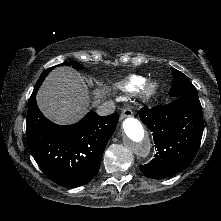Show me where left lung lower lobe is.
I'll list each match as a JSON object with an SVG mask.
<instances>
[{
    "label": "left lung lower lobe",
    "mask_w": 221,
    "mask_h": 221,
    "mask_svg": "<svg viewBox=\"0 0 221 221\" xmlns=\"http://www.w3.org/2000/svg\"><path fill=\"white\" fill-rule=\"evenodd\" d=\"M140 119L153 134L157 153L146 165L145 176L162 179L184 170L194 159L203 133L202 106L199 100L186 97L152 109L144 107Z\"/></svg>",
    "instance_id": "0a47b994"
}]
</instances>
